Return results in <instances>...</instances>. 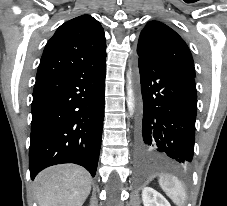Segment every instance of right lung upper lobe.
Instances as JSON below:
<instances>
[{"mask_svg":"<svg viewBox=\"0 0 227 206\" xmlns=\"http://www.w3.org/2000/svg\"><path fill=\"white\" fill-rule=\"evenodd\" d=\"M105 60L106 40L101 24L90 15H81L62 24L48 41L36 81Z\"/></svg>","mask_w":227,"mask_h":206,"instance_id":"right-lung-upper-lobe-1","label":"right lung upper lobe"}]
</instances>
